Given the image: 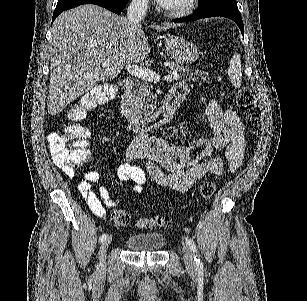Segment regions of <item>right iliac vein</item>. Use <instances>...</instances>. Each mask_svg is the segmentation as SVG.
<instances>
[{
  "mask_svg": "<svg viewBox=\"0 0 307 301\" xmlns=\"http://www.w3.org/2000/svg\"><path fill=\"white\" fill-rule=\"evenodd\" d=\"M112 239H113L112 236L107 237L100 246V249H99V268L100 269H105L107 249L109 245L111 244Z\"/></svg>",
  "mask_w": 307,
  "mask_h": 301,
  "instance_id": "obj_1",
  "label": "right iliac vein"
}]
</instances>
